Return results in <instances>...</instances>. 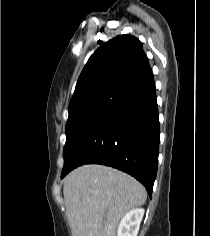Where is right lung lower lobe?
<instances>
[{
    "label": "right lung lower lobe",
    "instance_id": "98d812e1",
    "mask_svg": "<svg viewBox=\"0 0 210 236\" xmlns=\"http://www.w3.org/2000/svg\"><path fill=\"white\" fill-rule=\"evenodd\" d=\"M159 119L153 75L138 83L89 131L61 178L88 163L112 166L137 180L152 196L159 154Z\"/></svg>",
    "mask_w": 210,
    "mask_h": 236
}]
</instances>
